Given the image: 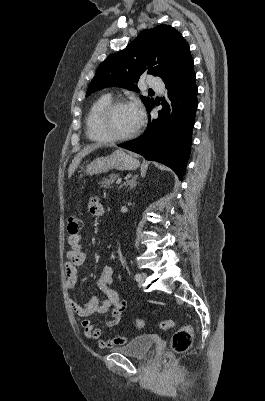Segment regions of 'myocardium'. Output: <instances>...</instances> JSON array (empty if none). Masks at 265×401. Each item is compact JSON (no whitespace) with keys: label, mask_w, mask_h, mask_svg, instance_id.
<instances>
[{"label":"myocardium","mask_w":265,"mask_h":401,"mask_svg":"<svg viewBox=\"0 0 265 401\" xmlns=\"http://www.w3.org/2000/svg\"><path fill=\"white\" fill-rule=\"evenodd\" d=\"M124 105H131V102H129L126 99L111 100L98 113L96 120H95V127H96V131L103 137L104 141H106V142L125 141V140L132 138L133 136H135L137 134V132L142 124V118H140L135 129L126 135L114 136V135H111L106 129L107 117L117 107L124 106Z\"/></svg>","instance_id":"obj_1"}]
</instances>
